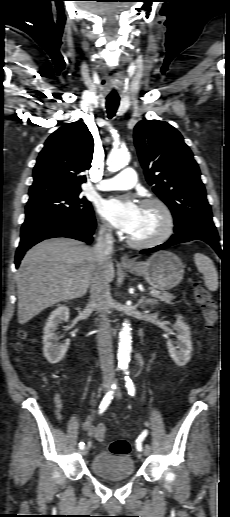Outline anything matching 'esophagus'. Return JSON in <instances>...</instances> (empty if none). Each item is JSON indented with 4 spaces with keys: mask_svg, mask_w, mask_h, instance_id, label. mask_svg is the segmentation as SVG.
I'll return each instance as SVG.
<instances>
[{
    "mask_svg": "<svg viewBox=\"0 0 230 517\" xmlns=\"http://www.w3.org/2000/svg\"><path fill=\"white\" fill-rule=\"evenodd\" d=\"M120 263L121 265L123 266H131L133 265V261L129 259V257L127 255H123L120 259Z\"/></svg>",
    "mask_w": 230,
    "mask_h": 517,
    "instance_id": "1",
    "label": "esophagus"
}]
</instances>
